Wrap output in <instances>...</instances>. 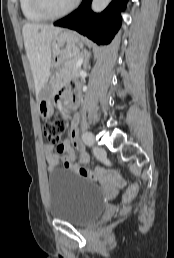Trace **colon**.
Masks as SVG:
<instances>
[{
  "mask_svg": "<svg viewBox=\"0 0 174 258\" xmlns=\"http://www.w3.org/2000/svg\"><path fill=\"white\" fill-rule=\"evenodd\" d=\"M64 131V122L57 118L50 121H46L43 126V132L50 144H57L60 141L61 135ZM139 191V185L134 183L128 187L123 194V201L130 202L137 195Z\"/></svg>",
  "mask_w": 174,
  "mask_h": 258,
  "instance_id": "5ec220e1",
  "label": "colon"
}]
</instances>
